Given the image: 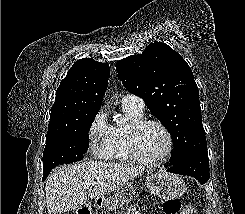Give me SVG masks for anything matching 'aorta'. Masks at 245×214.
Returning a JSON list of instances; mask_svg holds the SVG:
<instances>
[{
    "mask_svg": "<svg viewBox=\"0 0 245 214\" xmlns=\"http://www.w3.org/2000/svg\"><path fill=\"white\" fill-rule=\"evenodd\" d=\"M114 121L116 122V123H122L123 122V118H122V116L121 115H119V114H116V115H114Z\"/></svg>",
    "mask_w": 245,
    "mask_h": 214,
    "instance_id": "1",
    "label": "aorta"
}]
</instances>
